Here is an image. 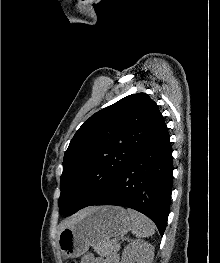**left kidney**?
I'll return each mask as SVG.
<instances>
[{"label": "left kidney", "instance_id": "5707ae66", "mask_svg": "<svg viewBox=\"0 0 220 263\" xmlns=\"http://www.w3.org/2000/svg\"><path fill=\"white\" fill-rule=\"evenodd\" d=\"M154 247L143 240H134L126 246L122 253L121 263H152Z\"/></svg>", "mask_w": 220, "mask_h": 263}]
</instances>
